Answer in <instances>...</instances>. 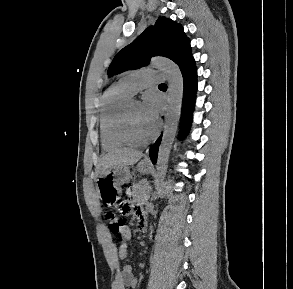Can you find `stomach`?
Segmentation results:
<instances>
[{
    "label": "stomach",
    "mask_w": 293,
    "mask_h": 289,
    "mask_svg": "<svg viewBox=\"0 0 293 289\" xmlns=\"http://www.w3.org/2000/svg\"><path fill=\"white\" fill-rule=\"evenodd\" d=\"M150 164L140 162L137 170L143 174L149 172ZM131 178L128 166H113L107 174L101 175L96 183L99 198L107 206H115L122 194L121 186Z\"/></svg>",
    "instance_id": "obj_1"
}]
</instances>
